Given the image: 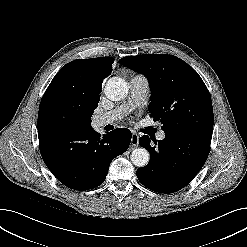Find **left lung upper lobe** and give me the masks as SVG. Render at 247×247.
<instances>
[{
  "instance_id": "5c2ea615",
  "label": "left lung upper lobe",
  "mask_w": 247,
  "mask_h": 247,
  "mask_svg": "<svg viewBox=\"0 0 247 247\" xmlns=\"http://www.w3.org/2000/svg\"><path fill=\"white\" fill-rule=\"evenodd\" d=\"M119 62L148 78L152 92L148 110L166 134L212 138L210 93L190 65L166 54L127 56Z\"/></svg>"
}]
</instances>
